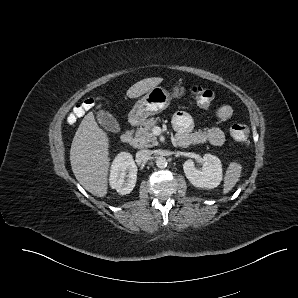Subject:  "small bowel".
<instances>
[{
	"label": "small bowel",
	"mask_w": 298,
	"mask_h": 298,
	"mask_svg": "<svg viewBox=\"0 0 298 298\" xmlns=\"http://www.w3.org/2000/svg\"><path fill=\"white\" fill-rule=\"evenodd\" d=\"M233 108L224 104L216 110V116L219 120L225 121L232 117ZM172 124L178 133H189L193 128V120L186 112H177L172 119ZM202 142H209L214 146H222L225 142V135L219 128H210L203 133L195 134Z\"/></svg>",
	"instance_id": "c3829d8e"
}]
</instances>
